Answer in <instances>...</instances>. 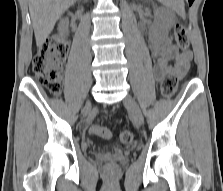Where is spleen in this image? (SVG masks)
Here are the masks:
<instances>
[{"label": "spleen", "instance_id": "spleen-1", "mask_svg": "<svg viewBox=\"0 0 223 191\" xmlns=\"http://www.w3.org/2000/svg\"><path fill=\"white\" fill-rule=\"evenodd\" d=\"M173 9H175L180 15H183L184 14L183 0H174Z\"/></svg>", "mask_w": 223, "mask_h": 191}]
</instances>
